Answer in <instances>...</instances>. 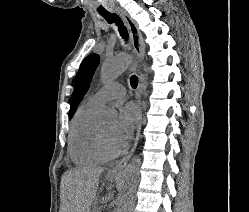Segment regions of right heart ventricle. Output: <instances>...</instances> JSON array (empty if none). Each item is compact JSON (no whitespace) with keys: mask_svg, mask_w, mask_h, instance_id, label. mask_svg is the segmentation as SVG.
<instances>
[{"mask_svg":"<svg viewBox=\"0 0 249 212\" xmlns=\"http://www.w3.org/2000/svg\"><path fill=\"white\" fill-rule=\"evenodd\" d=\"M98 108L87 101L79 106L73 116L68 139V152L75 165L92 166L104 162L95 139V115Z\"/></svg>","mask_w":249,"mask_h":212,"instance_id":"e07e8e85","label":"right heart ventricle"}]
</instances>
